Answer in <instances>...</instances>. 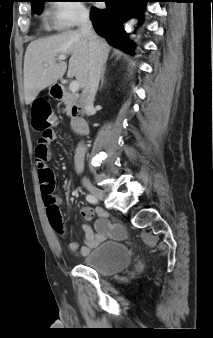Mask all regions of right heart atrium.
I'll return each instance as SVG.
<instances>
[{
	"label": "right heart atrium",
	"instance_id": "d8ad5b80",
	"mask_svg": "<svg viewBox=\"0 0 213 338\" xmlns=\"http://www.w3.org/2000/svg\"><path fill=\"white\" fill-rule=\"evenodd\" d=\"M86 9L79 3L60 2L52 8V22L56 27L69 28L85 21Z\"/></svg>",
	"mask_w": 213,
	"mask_h": 338
}]
</instances>
